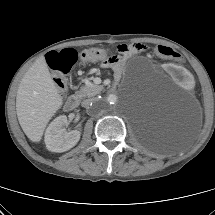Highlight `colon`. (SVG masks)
I'll list each match as a JSON object with an SVG mask.
<instances>
[{
    "mask_svg": "<svg viewBox=\"0 0 215 215\" xmlns=\"http://www.w3.org/2000/svg\"><path fill=\"white\" fill-rule=\"evenodd\" d=\"M135 44H121L118 46V52L125 54L129 51L136 49ZM155 54L164 59L177 60L181 64L187 63V58L182 54H178L174 49L159 45L155 48ZM81 58L86 61L91 60H109L108 51L102 48H89L85 49L80 54ZM78 59V53L76 50L67 48L61 51H51L46 55V61L48 66L54 75V82L60 91H64L67 87L66 75L70 71L71 67Z\"/></svg>",
    "mask_w": 215,
    "mask_h": 215,
    "instance_id": "obj_1",
    "label": "colon"
}]
</instances>
